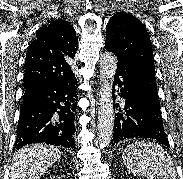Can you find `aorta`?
I'll return each mask as SVG.
<instances>
[{"instance_id": "1", "label": "aorta", "mask_w": 183, "mask_h": 179, "mask_svg": "<svg viewBox=\"0 0 183 179\" xmlns=\"http://www.w3.org/2000/svg\"><path fill=\"white\" fill-rule=\"evenodd\" d=\"M117 69V59L106 52L100 59L101 90L98 111V144L101 149L111 141L114 129L112 81Z\"/></svg>"}]
</instances>
